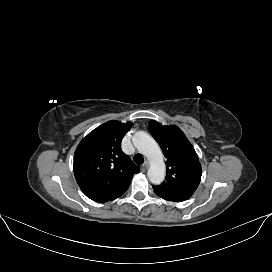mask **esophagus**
Returning a JSON list of instances; mask_svg holds the SVG:
<instances>
[{
	"instance_id": "1",
	"label": "esophagus",
	"mask_w": 272,
	"mask_h": 272,
	"mask_svg": "<svg viewBox=\"0 0 272 272\" xmlns=\"http://www.w3.org/2000/svg\"><path fill=\"white\" fill-rule=\"evenodd\" d=\"M149 167V163L146 161L143 165H142V170L146 171Z\"/></svg>"
}]
</instances>
